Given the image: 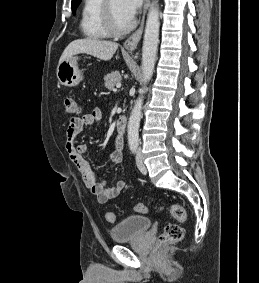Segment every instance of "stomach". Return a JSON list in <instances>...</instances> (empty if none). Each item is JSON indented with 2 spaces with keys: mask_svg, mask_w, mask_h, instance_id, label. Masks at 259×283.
<instances>
[{
  "mask_svg": "<svg viewBox=\"0 0 259 283\" xmlns=\"http://www.w3.org/2000/svg\"><path fill=\"white\" fill-rule=\"evenodd\" d=\"M78 56H71L59 63L57 67L58 81L67 87L77 86L84 78L82 70L78 68Z\"/></svg>",
  "mask_w": 259,
  "mask_h": 283,
  "instance_id": "1",
  "label": "stomach"
}]
</instances>
